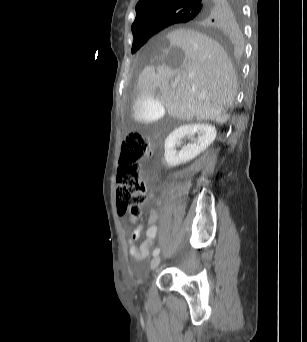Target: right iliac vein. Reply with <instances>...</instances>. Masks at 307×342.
<instances>
[{
    "instance_id": "obj_1",
    "label": "right iliac vein",
    "mask_w": 307,
    "mask_h": 342,
    "mask_svg": "<svg viewBox=\"0 0 307 342\" xmlns=\"http://www.w3.org/2000/svg\"><path fill=\"white\" fill-rule=\"evenodd\" d=\"M161 262L160 256H155L151 261V269H156Z\"/></svg>"
}]
</instances>
